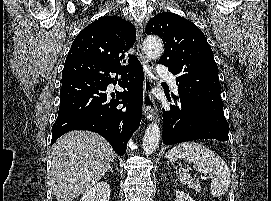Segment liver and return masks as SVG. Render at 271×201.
Returning a JSON list of instances; mask_svg holds the SVG:
<instances>
[{"instance_id":"1","label":"liver","mask_w":271,"mask_h":201,"mask_svg":"<svg viewBox=\"0 0 271 201\" xmlns=\"http://www.w3.org/2000/svg\"><path fill=\"white\" fill-rule=\"evenodd\" d=\"M114 161L111 145L89 131H72L52 146L49 174L57 201H73L91 189Z\"/></svg>"}]
</instances>
